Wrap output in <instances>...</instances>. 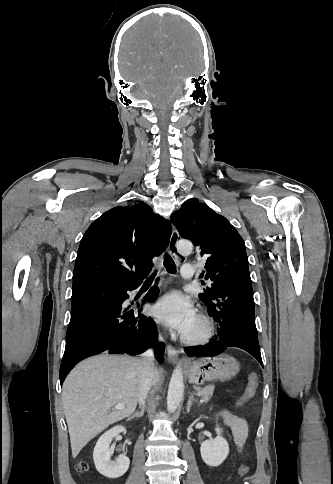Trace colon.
<instances>
[{"instance_id": "1", "label": "colon", "mask_w": 333, "mask_h": 484, "mask_svg": "<svg viewBox=\"0 0 333 484\" xmlns=\"http://www.w3.org/2000/svg\"><path fill=\"white\" fill-rule=\"evenodd\" d=\"M258 384H259L258 375L254 372L249 373L246 389L244 393L241 395V397L239 398L238 403L243 404L249 401L251 398H253L258 389ZM87 468H88V465L85 462H80L77 465V469L79 471H86ZM248 470H249V467L246 464L241 465L238 472L239 476H244L248 472Z\"/></svg>"}]
</instances>
